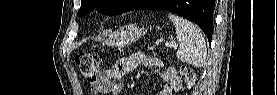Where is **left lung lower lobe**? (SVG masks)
I'll use <instances>...</instances> for the list:
<instances>
[{
	"instance_id": "0a47b994",
	"label": "left lung lower lobe",
	"mask_w": 277,
	"mask_h": 95,
	"mask_svg": "<svg viewBox=\"0 0 277 95\" xmlns=\"http://www.w3.org/2000/svg\"><path fill=\"white\" fill-rule=\"evenodd\" d=\"M161 0H144L135 9L168 10L195 22L206 34L208 40L212 38L215 0H172L169 6L162 7Z\"/></svg>"
}]
</instances>
